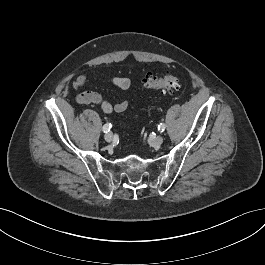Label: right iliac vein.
Listing matches in <instances>:
<instances>
[{"mask_svg": "<svg viewBox=\"0 0 265 265\" xmlns=\"http://www.w3.org/2000/svg\"><path fill=\"white\" fill-rule=\"evenodd\" d=\"M105 140L107 141V142H111L112 140H113V134L111 133V132H109V133H107L106 135H105Z\"/></svg>", "mask_w": 265, "mask_h": 265, "instance_id": "obj_1", "label": "right iliac vein"}]
</instances>
